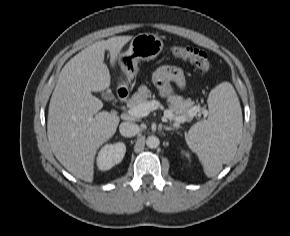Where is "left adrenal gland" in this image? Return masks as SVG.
I'll return each instance as SVG.
<instances>
[{"mask_svg": "<svg viewBox=\"0 0 290 236\" xmlns=\"http://www.w3.org/2000/svg\"><path fill=\"white\" fill-rule=\"evenodd\" d=\"M164 128H165L167 131H174V130H177V128H175V127H170V126H164Z\"/></svg>", "mask_w": 290, "mask_h": 236, "instance_id": "obj_1", "label": "left adrenal gland"}]
</instances>
